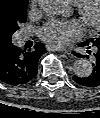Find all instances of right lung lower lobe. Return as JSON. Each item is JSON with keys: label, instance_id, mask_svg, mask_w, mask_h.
Segmentation results:
<instances>
[{"label": "right lung lower lobe", "instance_id": "1", "mask_svg": "<svg viewBox=\"0 0 100 118\" xmlns=\"http://www.w3.org/2000/svg\"><path fill=\"white\" fill-rule=\"evenodd\" d=\"M46 52L41 43L22 50L12 43L0 47V80L11 86L26 84L37 74V63Z\"/></svg>", "mask_w": 100, "mask_h": 118}]
</instances>
